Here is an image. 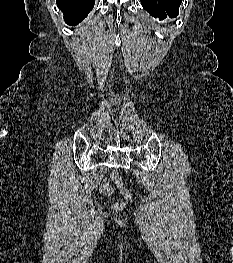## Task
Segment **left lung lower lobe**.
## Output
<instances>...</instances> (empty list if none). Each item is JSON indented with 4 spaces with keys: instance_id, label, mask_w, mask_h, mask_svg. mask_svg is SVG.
<instances>
[{
    "instance_id": "1",
    "label": "left lung lower lobe",
    "mask_w": 233,
    "mask_h": 263,
    "mask_svg": "<svg viewBox=\"0 0 233 263\" xmlns=\"http://www.w3.org/2000/svg\"><path fill=\"white\" fill-rule=\"evenodd\" d=\"M182 0H141L144 9L159 20L176 17Z\"/></svg>"
}]
</instances>
